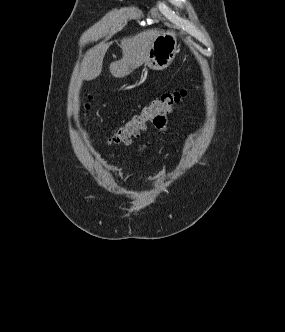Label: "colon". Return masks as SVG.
Returning <instances> with one entry per match:
<instances>
[{"instance_id": "obj_1", "label": "colon", "mask_w": 285, "mask_h": 332, "mask_svg": "<svg viewBox=\"0 0 285 332\" xmlns=\"http://www.w3.org/2000/svg\"><path fill=\"white\" fill-rule=\"evenodd\" d=\"M185 96V91H175L163 94L152 100L145 105L139 113L133 115L112 133L109 138L110 143L115 145H126L130 143L131 140L139 136L149 124H152V122L149 121L150 115H159L161 113L162 115L168 116L183 101ZM89 107V104H86V110H89Z\"/></svg>"}]
</instances>
